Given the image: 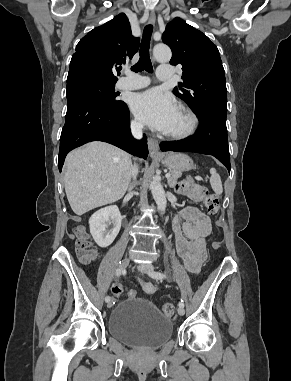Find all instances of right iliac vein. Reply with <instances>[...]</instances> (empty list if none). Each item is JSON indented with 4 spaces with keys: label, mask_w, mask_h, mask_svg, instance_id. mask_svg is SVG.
<instances>
[{
    "label": "right iliac vein",
    "mask_w": 291,
    "mask_h": 381,
    "mask_svg": "<svg viewBox=\"0 0 291 381\" xmlns=\"http://www.w3.org/2000/svg\"><path fill=\"white\" fill-rule=\"evenodd\" d=\"M129 264H130V260H129L128 258H125V259H123V260L120 262L119 267H120L121 269H126V268L129 266ZM113 304H114V300L111 299V300L108 302V304H107L108 308H111V307L113 306Z\"/></svg>",
    "instance_id": "obj_1"
}]
</instances>
